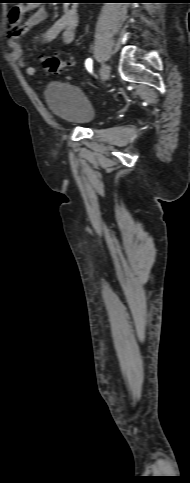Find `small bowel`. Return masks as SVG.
I'll use <instances>...</instances> for the list:
<instances>
[{
    "instance_id": "1",
    "label": "small bowel",
    "mask_w": 190,
    "mask_h": 483,
    "mask_svg": "<svg viewBox=\"0 0 190 483\" xmlns=\"http://www.w3.org/2000/svg\"><path fill=\"white\" fill-rule=\"evenodd\" d=\"M29 3V2H28ZM47 17L44 6L25 4L14 7L8 14L7 43L10 47V58L18 66L23 67L26 75L34 76L36 68L24 59L19 39L30 29L43 22ZM79 23L77 6L73 2L64 5L61 17L41 34L43 43H50L61 38L62 43L68 45L74 41Z\"/></svg>"
}]
</instances>
